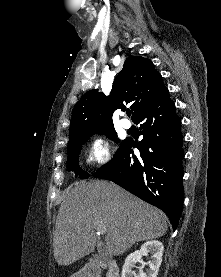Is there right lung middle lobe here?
Masks as SVG:
<instances>
[{"instance_id": "dd1d6c3e", "label": "right lung middle lobe", "mask_w": 221, "mask_h": 277, "mask_svg": "<svg viewBox=\"0 0 221 277\" xmlns=\"http://www.w3.org/2000/svg\"><path fill=\"white\" fill-rule=\"evenodd\" d=\"M104 134L108 138L114 139L116 143H119L117 139V134L113 125L100 126L92 129H88L82 132H79L69 138L68 142V164L67 169H73L76 173L79 172V177L84 179L88 178L89 174L81 170L78 166V155L81 151L82 145L90 138L93 134Z\"/></svg>"}]
</instances>
